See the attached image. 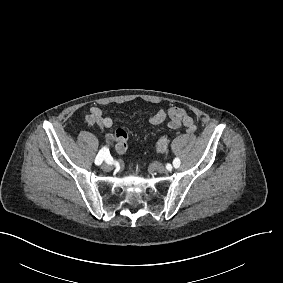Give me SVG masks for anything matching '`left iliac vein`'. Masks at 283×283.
Listing matches in <instances>:
<instances>
[{
  "instance_id": "4c4485c4",
  "label": "left iliac vein",
  "mask_w": 283,
  "mask_h": 283,
  "mask_svg": "<svg viewBox=\"0 0 283 283\" xmlns=\"http://www.w3.org/2000/svg\"><path fill=\"white\" fill-rule=\"evenodd\" d=\"M156 170L158 171V172H164L165 171V168H164V166L163 165H160V164H157L156 165Z\"/></svg>"
}]
</instances>
